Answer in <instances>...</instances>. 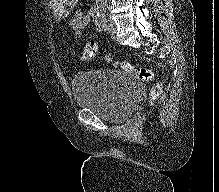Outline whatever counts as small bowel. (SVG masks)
<instances>
[{"instance_id":"c3829d8e","label":"small bowel","mask_w":219,"mask_h":192,"mask_svg":"<svg viewBox=\"0 0 219 192\" xmlns=\"http://www.w3.org/2000/svg\"><path fill=\"white\" fill-rule=\"evenodd\" d=\"M77 0H50L49 8L56 20L64 19L69 11L74 10ZM96 17V8L93 6L85 15L82 10H74L73 15L69 20V25L72 31L76 34L80 33L86 24ZM106 60H110V56H105Z\"/></svg>"}]
</instances>
